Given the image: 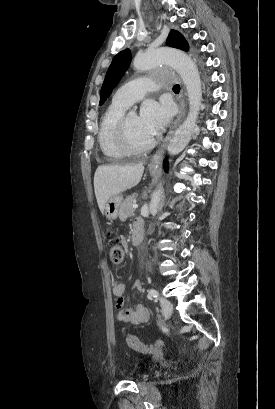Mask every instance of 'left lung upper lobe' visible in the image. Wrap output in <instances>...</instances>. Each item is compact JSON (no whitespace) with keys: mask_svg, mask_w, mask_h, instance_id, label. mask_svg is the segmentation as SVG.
I'll return each instance as SVG.
<instances>
[{"mask_svg":"<svg viewBox=\"0 0 275 409\" xmlns=\"http://www.w3.org/2000/svg\"><path fill=\"white\" fill-rule=\"evenodd\" d=\"M166 45L174 48L181 49L183 51L188 50V43L181 33L176 30H171L167 38ZM131 61V53L129 49H125L119 52L112 60V63L107 71L104 79L99 105H102L111 94L112 90L116 87L121 80L124 73L127 71Z\"/></svg>","mask_w":275,"mask_h":409,"instance_id":"obj_1","label":"left lung upper lobe"}]
</instances>
